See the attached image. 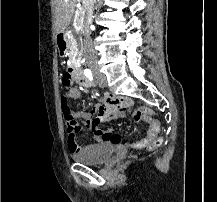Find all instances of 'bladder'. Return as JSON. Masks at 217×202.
Masks as SVG:
<instances>
[{
    "mask_svg": "<svg viewBox=\"0 0 217 202\" xmlns=\"http://www.w3.org/2000/svg\"><path fill=\"white\" fill-rule=\"evenodd\" d=\"M115 147L111 142H103L87 146L73 155L75 159L90 165L102 163L106 158H111Z\"/></svg>",
    "mask_w": 217,
    "mask_h": 202,
    "instance_id": "31cf9c89",
    "label": "bladder"
}]
</instances>
